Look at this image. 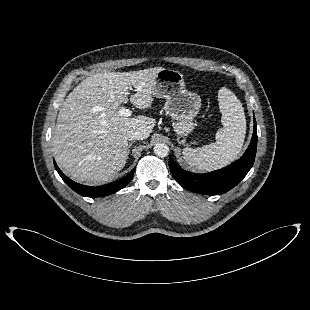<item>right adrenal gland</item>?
I'll use <instances>...</instances> for the list:
<instances>
[{
  "instance_id": "1",
  "label": "right adrenal gland",
  "mask_w": 310,
  "mask_h": 310,
  "mask_svg": "<svg viewBox=\"0 0 310 310\" xmlns=\"http://www.w3.org/2000/svg\"><path fill=\"white\" fill-rule=\"evenodd\" d=\"M133 143H134V141H131V142L129 143L128 150H127V157H128L129 154H130V148H131V146H132Z\"/></svg>"
}]
</instances>
